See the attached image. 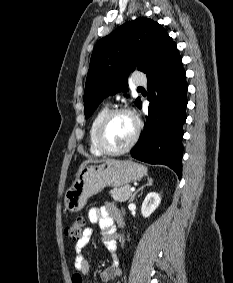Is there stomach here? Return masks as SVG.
<instances>
[{
  "instance_id": "stomach-1",
  "label": "stomach",
  "mask_w": 233,
  "mask_h": 283,
  "mask_svg": "<svg viewBox=\"0 0 233 283\" xmlns=\"http://www.w3.org/2000/svg\"><path fill=\"white\" fill-rule=\"evenodd\" d=\"M147 168L131 160H110L100 165L85 166L77 175L64 196V207L69 212H78L87 199L100 193L105 187H122L140 180Z\"/></svg>"
}]
</instances>
